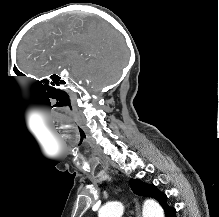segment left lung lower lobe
<instances>
[{"label": "left lung lower lobe", "mask_w": 219, "mask_h": 217, "mask_svg": "<svg viewBox=\"0 0 219 217\" xmlns=\"http://www.w3.org/2000/svg\"><path fill=\"white\" fill-rule=\"evenodd\" d=\"M166 217H176V210L174 207L168 206L164 209Z\"/></svg>", "instance_id": "obj_1"}]
</instances>
